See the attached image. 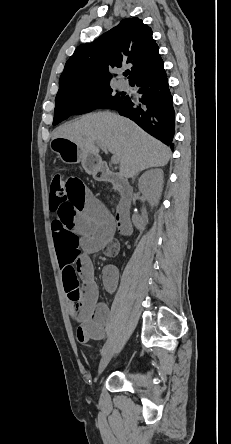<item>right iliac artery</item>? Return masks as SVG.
Returning <instances> with one entry per match:
<instances>
[{"mask_svg":"<svg viewBox=\"0 0 231 444\" xmlns=\"http://www.w3.org/2000/svg\"><path fill=\"white\" fill-rule=\"evenodd\" d=\"M111 341H107L101 350V354H104L106 350L110 347Z\"/></svg>","mask_w":231,"mask_h":444,"instance_id":"obj_1","label":"right iliac artery"}]
</instances>
